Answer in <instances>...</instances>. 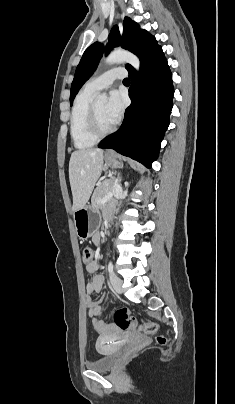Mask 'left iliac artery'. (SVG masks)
Instances as JSON below:
<instances>
[{"label":"left iliac artery","instance_id":"44dca946","mask_svg":"<svg viewBox=\"0 0 235 404\" xmlns=\"http://www.w3.org/2000/svg\"><path fill=\"white\" fill-rule=\"evenodd\" d=\"M108 272H109V274H113V264L111 261L108 264Z\"/></svg>","mask_w":235,"mask_h":404}]
</instances>
